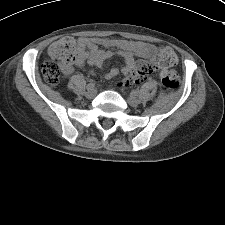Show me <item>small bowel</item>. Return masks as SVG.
<instances>
[{"label":"small bowel","instance_id":"1","mask_svg":"<svg viewBox=\"0 0 225 225\" xmlns=\"http://www.w3.org/2000/svg\"><path fill=\"white\" fill-rule=\"evenodd\" d=\"M76 45L77 61L74 65L62 66L63 72L65 74H70L73 72L74 66L82 67L86 62L91 66L101 68L106 61L117 55L124 61V64L122 66H114L108 72L103 74V78L107 80L120 73L124 75L133 74L137 65L143 61L141 59H136V56L154 61L158 54V48L154 45L140 42L129 44L114 39L79 37L76 39ZM99 45L104 46L107 49H100Z\"/></svg>","mask_w":225,"mask_h":225}]
</instances>
